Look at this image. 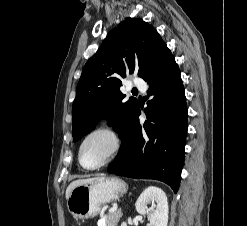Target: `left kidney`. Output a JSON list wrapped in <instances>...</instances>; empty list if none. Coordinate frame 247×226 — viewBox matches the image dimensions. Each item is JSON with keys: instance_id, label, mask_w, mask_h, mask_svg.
<instances>
[{"instance_id": "obj_1", "label": "left kidney", "mask_w": 247, "mask_h": 226, "mask_svg": "<svg viewBox=\"0 0 247 226\" xmlns=\"http://www.w3.org/2000/svg\"><path fill=\"white\" fill-rule=\"evenodd\" d=\"M150 203L155 207L154 210L147 207ZM135 206L139 214L147 215L149 226H167L169 207L167 196L162 189L148 187L141 193Z\"/></svg>"}]
</instances>
